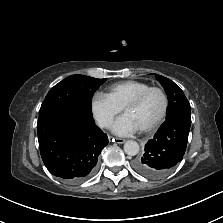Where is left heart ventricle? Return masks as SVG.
<instances>
[{"mask_svg": "<svg viewBox=\"0 0 223 223\" xmlns=\"http://www.w3.org/2000/svg\"><path fill=\"white\" fill-rule=\"evenodd\" d=\"M164 100L160 92H150L143 101L124 113L128 115L138 126L139 129L152 124L161 114Z\"/></svg>", "mask_w": 223, "mask_h": 223, "instance_id": "1", "label": "left heart ventricle"}]
</instances>
